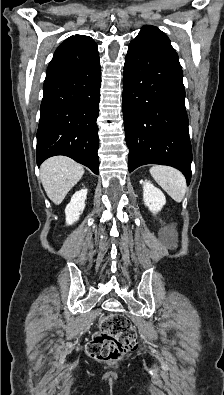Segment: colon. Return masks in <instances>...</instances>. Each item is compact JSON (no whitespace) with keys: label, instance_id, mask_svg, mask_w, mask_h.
<instances>
[{"label":"colon","instance_id":"5ec220e1","mask_svg":"<svg viewBox=\"0 0 224 395\" xmlns=\"http://www.w3.org/2000/svg\"><path fill=\"white\" fill-rule=\"evenodd\" d=\"M137 336L130 321L120 314L104 317L87 344L88 355L97 361H114L137 347Z\"/></svg>","mask_w":224,"mask_h":395}]
</instances>
